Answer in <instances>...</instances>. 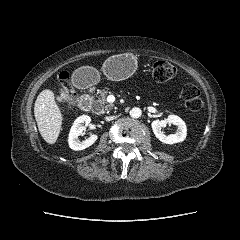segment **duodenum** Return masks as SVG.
<instances>
[{
  "label": "duodenum",
  "mask_w": 240,
  "mask_h": 240,
  "mask_svg": "<svg viewBox=\"0 0 240 240\" xmlns=\"http://www.w3.org/2000/svg\"><path fill=\"white\" fill-rule=\"evenodd\" d=\"M80 86L82 87H86L87 86V83H86V80L83 79L80 83ZM91 104H92V101H91V95L89 92L83 94L80 98V101H79V107L81 110L83 111H89L91 109Z\"/></svg>",
  "instance_id": "obj_1"
}]
</instances>
